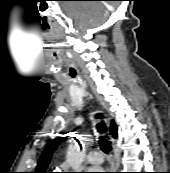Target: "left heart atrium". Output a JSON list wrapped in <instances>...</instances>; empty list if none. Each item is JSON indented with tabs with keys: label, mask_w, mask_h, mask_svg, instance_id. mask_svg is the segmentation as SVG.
<instances>
[{
	"label": "left heart atrium",
	"mask_w": 170,
	"mask_h": 173,
	"mask_svg": "<svg viewBox=\"0 0 170 173\" xmlns=\"http://www.w3.org/2000/svg\"><path fill=\"white\" fill-rule=\"evenodd\" d=\"M93 169L99 171V170H98L99 168H93Z\"/></svg>",
	"instance_id": "left-heart-atrium-1"
}]
</instances>
